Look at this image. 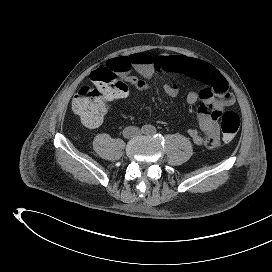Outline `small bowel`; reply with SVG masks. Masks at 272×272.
I'll use <instances>...</instances> for the list:
<instances>
[{
    "instance_id": "1",
    "label": "small bowel",
    "mask_w": 272,
    "mask_h": 272,
    "mask_svg": "<svg viewBox=\"0 0 272 272\" xmlns=\"http://www.w3.org/2000/svg\"><path fill=\"white\" fill-rule=\"evenodd\" d=\"M107 66L117 69L125 82L140 91L149 89L148 80L155 72L169 74L171 78L164 84L163 89L172 97L178 95L186 81L195 82L199 89L189 90L185 100L190 106L201 103L198 109V122L205 136L203 137L193 127L187 128V134L198 146L215 148L220 144V129L210 109L222 112L233 105L235 99L229 90L227 80L214 66L180 55L152 57L146 53L116 57L111 59ZM131 70H135L140 77L132 75Z\"/></svg>"
}]
</instances>
